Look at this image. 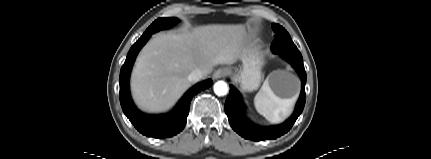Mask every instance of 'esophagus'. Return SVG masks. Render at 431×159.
<instances>
[{"mask_svg":"<svg viewBox=\"0 0 431 159\" xmlns=\"http://www.w3.org/2000/svg\"><path fill=\"white\" fill-rule=\"evenodd\" d=\"M228 74V69L219 68L213 73V79H220L225 77Z\"/></svg>","mask_w":431,"mask_h":159,"instance_id":"34e87169","label":"esophagus"}]
</instances>
